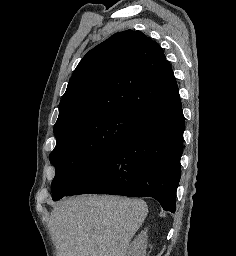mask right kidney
Returning <instances> with one entry per match:
<instances>
[{"mask_svg":"<svg viewBox=\"0 0 236 256\" xmlns=\"http://www.w3.org/2000/svg\"><path fill=\"white\" fill-rule=\"evenodd\" d=\"M147 240V230H143L137 236L136 240H134L133 244H131L129 250L130 256H146Z\"/></svg>","mask_w":236,"mask_h":256,"instance_id":"ca27d5eb","label":"right kidney"}]
</instances>
